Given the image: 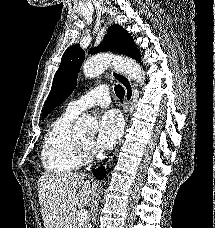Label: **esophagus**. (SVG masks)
I'll list each match as a JSON object with an SVG mask.
<instances>
[{
	"instance_id": "esophagus-1",
	"label": "esophagus",
	"mask_w": 215,
	"mask_h": 228,
	"mask_svg": "<svg viewBox=\"0 0 215 228\" xmlns=\"http://www.w3.org/2000/svg\"><path fill=\"white\" fill-rule=\"evenodd\" d=\"M112 76L124 88V91H125V102H124L125 103V114H126V118L128 119V109L131 105L133 95H134L132 82H131L130 78L127 75H125V73H122L121 71H118L115 69L112 70ZM110 161L111 160H109L105 164V166H107L108 163H110Z\"/></svg>"
}]
</instances>
